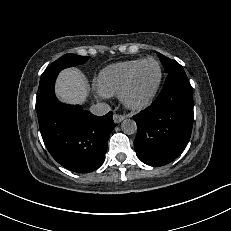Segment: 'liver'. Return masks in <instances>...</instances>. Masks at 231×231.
<instances>
[{"label":"liver","instance_id":"liver-1","mask_svg":"<svg viewBox=\"0 0 231 231\" xmlns=\"http://www.w3.org/2000/svg\"><path fill=\"white\" fill-rule=\"evenodd\" d=\"M55 90L57 97L69 104H82L88 95L84 75L74 68L65 69L59 74Z\"/></svg>","mask_w":231,"mask_h":231}]
</instances>
